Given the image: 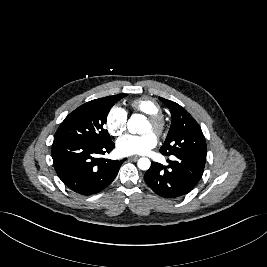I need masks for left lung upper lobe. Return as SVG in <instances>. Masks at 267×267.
<instances>
[{"label": "left lung upper lobe", "instance_id": "5c2ea615", "mask_svg": "<svg viewBox=\"0 0 267 267\" xmlns=\"http://www.w3.org/2000/svg\"><path fill=\"white\" fill-rule=\"evenodd\" d=\"M172 115L170 130L160 148L163 155H188L206 160L207 147L202 130L194 118L179 104L161 98Z\"/></svg>", "mask_w": 267, "mask_h": 267}]
</instances>
